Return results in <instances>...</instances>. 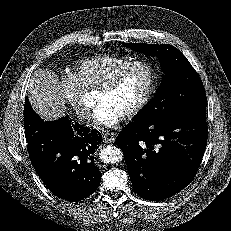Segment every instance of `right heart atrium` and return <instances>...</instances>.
Listing matches in <instances>:
<instances>
[{
	"mask_svg": "<svg viewBox=\"0 0 231 231\" xmlns=\"http://www.w3.org/2000/svg\"><path fill=\"white\" fill-rule=\"evenodd\" d=\"M57 91L81 120L89 118L91 106L86 101L83 87L73 74H62L60 76Z\"/></svg>",
	"mask_w": 231,
	"mask_h": 231,
	"instance_id": "d8ad5b80",
	"label": "right heart atrium"
}]
</instances>
